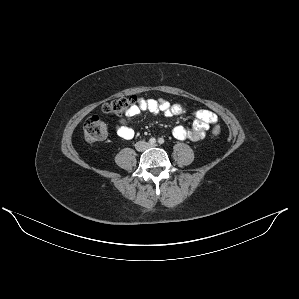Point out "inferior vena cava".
Listing matches in <instances>:
<instances>
[{
    "label": "inferior vena cava",
    "instance_id": "obj_1",
    "mask_svg": "<svg viewBox=\"0 0 299 299\" xmlns=\"http://www.w3.org/2000/svg\"><path fill=\"white\" fill-rule=\"evenodd\" d=\"M149 147V144L145 141H139L136 143V149L138 151H143Z\"/></svg>",
    "mask_w": 299,
    "mask_h": 299
}]
</instances>
